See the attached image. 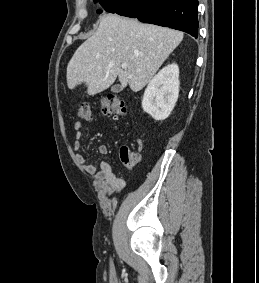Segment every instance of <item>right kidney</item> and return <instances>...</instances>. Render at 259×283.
Here are the masks:
<instances>
[{
	"mask_svg": "<svg viewBox=\"0 0 259 283\" xmlns=\"http://www.w3.org/2000/svg\"><path fill=\"white\" fill-rule=\"evenodd\" d=\"M179 95V67L167 65L149 82L142 99L143 110L157 121L165 120Z\"/></svg>",
	"mask_w": 259,
	"mask_h": 283,
	"instance_id": "right-kidney-1",
	"label": "right kidney"
}]
</instances>
